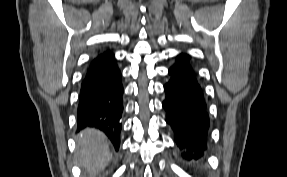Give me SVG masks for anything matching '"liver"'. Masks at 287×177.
I'll return each mask as SVG.
<instances>
[{
    "label": "liver",
    "instance_id": "6515ba94",
    "mask_svg": "<svg viewBox=\"0 0 287 177\" xmlns=\"http://www.w3.org/2000/svg\"><path fill=\"white\" fill-rule=\"evenodd\" d=\"M77 158L89 177H95L112 158L106 136L92 128L81 132L77 138Z\"/></svg>",
    "mask_w": 287,
    "mask_h": 177
}]
</instances>
